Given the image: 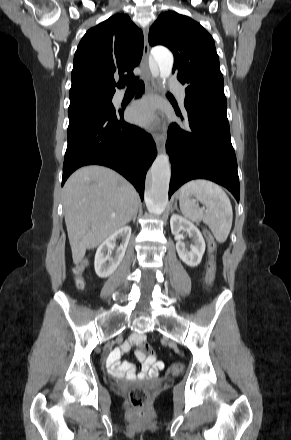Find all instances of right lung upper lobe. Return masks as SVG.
Here are the masks:
<instances>
[{
	"label": "right lung upper lobe",
	"mask_w": 291,
	"mask_h": 440,
	"mask_svg": "<svg viewBox=\"0 0 291 440\" xmlns=\"http://www.w3.org/2000/svg\"><path fill=\"white\" fill-rule=\"evenodd\" d=\"M142 53L143 33L127 14H115L89 29L74 55L70 101L113 96L115 86L123 88V79L134 76Z\"/></svg>",
	"instance_id": "1"
}]
</instances>
